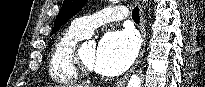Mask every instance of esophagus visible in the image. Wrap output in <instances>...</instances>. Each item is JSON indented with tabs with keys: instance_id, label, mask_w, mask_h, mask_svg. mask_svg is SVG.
I'll use <instances>...</instances> for the list:
<instances>
[{
	"instance_id": "obj_1",
	"label": "esophagus",
	"mask_w": 205,
	"mask_h": 87,
	"mask_svg": "<svg viewBox=\"0 0 205 87\" xmlns=\"http://www.w3.org/2000/svg\"><path fill=\"white\" fill-rule=\"evenodd\" d=\"M139 12H140L139 28H140V32L142 35V45H141V48H140V51H139V54L137 56L135 63L133 64V66L131 67L129 72L120 81L117 82L116 87H123L126 84L130 75L132 74V72L134 71L136 66L138 65L141 57L143 56L144 50H145V46H146V42H147L146 22H145L144 12H143L142 6L140 4H139Z\"/></svg>"
}]
</instances>
